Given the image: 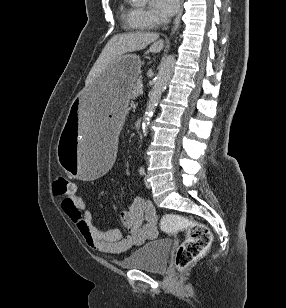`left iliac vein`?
<instances>
[{"label":"left iliac vein","mask_w":286,"mask_h":308,"mask_svg":"<svg viewBox=\"0 0 286 308\" xmlns=\"http://www.w3.org/2000/svg\"><path fill=\"white\" fill-rule=\"evenodd\" d=\"M144 184H145L146 188H148V189L151 188V184H150V182L147 180V176H145V178H144Z\"/></svg>","instance_id":"1"}]
</instances>
